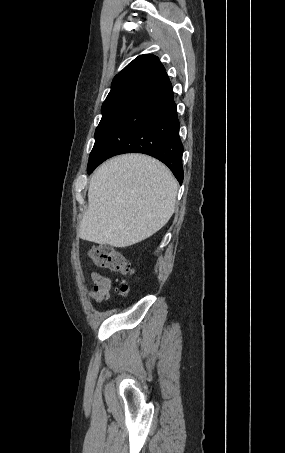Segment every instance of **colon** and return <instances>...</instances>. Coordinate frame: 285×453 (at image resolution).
<instances>
[{
  "mask_svg": "<svg viewBox=\"0 0 285 453\" xmlns=\"http://www.w3.org/2000/svg\"><path fill=\"white\" fill-rule=\"evenodd\" d=\"M89 259L98 268L109 269L122 275H131L134 269L126 257L119 251L107 245H95L88 252ZM129 286L121 281V292L126 295Z\"/></svg>",
  "mask_w": 285,
  "mask_h": 453,
  "instance_id": "5ec220e1",
  "label": "colon"
}]
</instances>
